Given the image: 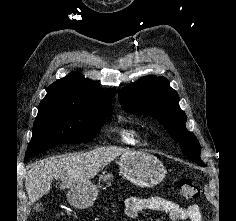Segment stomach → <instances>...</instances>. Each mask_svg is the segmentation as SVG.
Segmentation results:
<instances>
[{
  "label": "stomach",
  "mask_w": 236,
  "mask_h": 221,
  "mask_svg": "<svg viewBox=\"0 0 236 221\" xmlns=\"http://www.w3.org/2000/svg\"><path fill=\"white\" fill-rule=\"evenodd\" d=\"M118 165L124 178L142 188H151L159 184L166 173L162 162L145 152L124 153L121 155ZM109 178L110 174L101 175V179L104 181ZM97 196V186L88 181L72 186L68 191L67 199L74 207L84 209L92 206Z\"/></svg>",
  "instance_id": "stomach-1"
}]
</instances>
